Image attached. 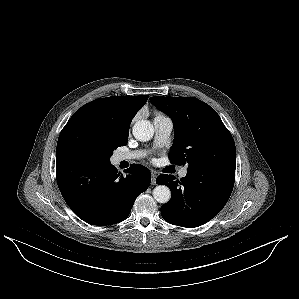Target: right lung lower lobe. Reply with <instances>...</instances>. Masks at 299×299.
I'll return each instance as SVG.
<instances>
[{"mask_svg":"<svg viewBox=\"0 0 299 299\" xmlns=\"http://www.w3.org/2000/svg\"><path fill=\"white\" fill-rule=\"evenodd\" d=\"M123 176L110 163L57 160L60 192L71 210L83 221L97 226L125 220L135 199L151 182L150 171L132 164Z\"/></svg>","mask_w":299,"mask_h":299,"instance_id":"right-lung-lower-lobe-1","label":"right lung lower lobe"}]
</instances>
